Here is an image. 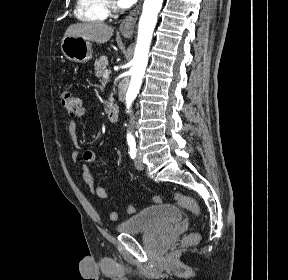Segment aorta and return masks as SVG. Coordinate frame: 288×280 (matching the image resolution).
I'll return each instance as SVG.
<instances>
[{
  "label": "aorta",
  "mask_w": 288,
  "mask_h": 280,
  "mask_svg": "<svg viewBox=\"0 0 288 280\" xmlns=\"http://www.w3.org/2000/svg\"><path fill=\"white\" fill-rule=\"evenodd\" d=\"M163 0H144L142 15L138 26V37L132 60L131 80L126 93V108L128 112L139 93L142 79L148 63V53L158 14ZM133 126H126L128 140H133Z\"/></svg>",
  "instance_id": "aorta-1"
}]
</instances>
